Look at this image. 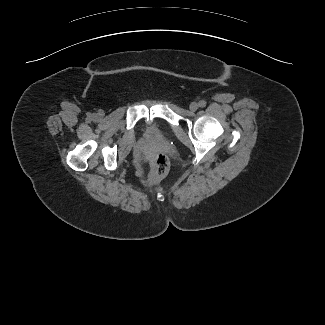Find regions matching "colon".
Listing matches in <instances>:
<instances>
[{
    "label": "colon",
    "mask_w": 325,
    "mask_h": 325,
    "mask_svg": "<svg viewBox=\"0 0 325 325\" xmlns=\"http://www.w3.org/2000/svg\"><path fill=\"white\" fill-rule=\"evenodd\" d=\"M169 170L168 158L163 154H157L152 159V169L149 174V180L155 183L161 180Z\"/></svg>",
    "instance_id": "1"
}]
</instances>
